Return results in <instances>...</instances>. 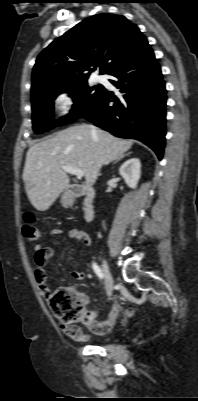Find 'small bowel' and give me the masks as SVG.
I'll list each match as a JSON object with an SVG mask.
<instances>
[{
	"instance_id": "1",
	"label": "small bowel",
	"mask_w": 198,
	"mask_h": 401,
	"mask_svg": "<svg viewBox=\"0 0 198 401\" xmlns=\"http://www.w3.org/2000/svg\"><path fill=\"white\" fill-rule=\"evenodd\" d=\"M61 233H62V230L59 228H54V229L50 230L51 236H58ZM68 236L71 239L80 241L86 247L91 246V238L85 230H82L79 228H72L69 230ZM52 255H53L52 251L45 246L37 245L34 249V277L39 286V289L41 290L42 294L45 296H47L50 293V287L47 283L45 268H46L48 262L50 261ZM75 276L77 278H84L85 273L84 272H76ZM81 298H82L85 306L88 307L89 297L86 294H81ZM119 311H120L119 304L116 301H114L112 308L109 312L108 318L103 321L96 319L95 322L89 327L91 332L95 335H103V334L107 333L110 330L111 326L114 324V322L119 314ZM66 332H68L67 328H66ZM74 338L82 340V339L88 338V335L83 334L82 332L79 331L77 336Z\"/></svg>"
}]
</instances>
